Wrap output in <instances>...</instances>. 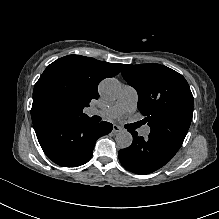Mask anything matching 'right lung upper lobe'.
<instances>
[{"label":"right lung upper lobe","instance_id":"right-lung-upper-lobe-1","mask_svg":"<svg viewBox=\"0 0 219 219\" xmlns=\"http://www.w3.org/2000/svg\"><path fill=\"white\" fill-rule=\"evenodd\" d=\"M122 66L80 55H68L54 61L34 86L32 119L88 117L83 109L92 99H98L99 82L117 75ZM53 97L62 102L58 111L50 108L49 102Z\"/></svg>","mask_w":219,"mask_h":219}]
</instances>
